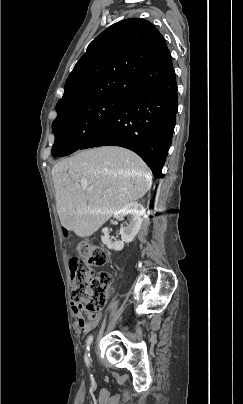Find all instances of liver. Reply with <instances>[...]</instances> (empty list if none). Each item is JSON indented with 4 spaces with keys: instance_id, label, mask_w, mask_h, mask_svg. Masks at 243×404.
<instances>
[{
    "instance_id": "1",
    "label": "liver",
    "mask_w": 243,
    "mask_h": 404,
    "mask_svg": "<svg viewBox=\"0 0 243 404\" xmlns=\"http://www.w3.org/2000/svg\"><path fill=\"white\" fill-rule=\"evenodd\" d=\"M56 208L66 230L80 238L97 232L117 210L150 190L152 174L125 148L83 150L52 168Z\"/></svg>"
}]
</instances>
